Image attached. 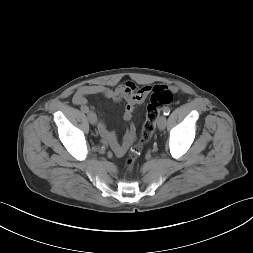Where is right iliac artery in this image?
Segmentation results:
<instances>
[{"label":"right iliac artery","instance_id":"82829eb1","mask_svg":"<svg viewBox=\"0 0 253 253\" xmlns=\"http://www.w3.org/2000/svg\"><path fill=\"white\" fill-rule=\"evenodd\" d=\"M81 110L85 113H87L89 111V108L88 107H84V108H81Z\"/></svg>","mask_w":253,"mask_h":253}]
</instances>
